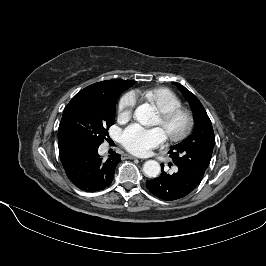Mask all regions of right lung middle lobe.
<instances>
[{
	"label": "right lung middle lobe",
	"mask_w": 266,
	"mask_h": 266,
	"mask_svg": "<svg viewBox=\"0 0 266 266\" xmlns=\"http://www.w3.org/2000/svg\"><path fill=\"white\" fill-rule=\"evenodd\" d=\"M129 87L123 83L108 93L79 91L63 111L58 129L59 148L100 145L115 122L116 101Z\"/></svg>",
	"instance_id": "1"
}]
</instances>
